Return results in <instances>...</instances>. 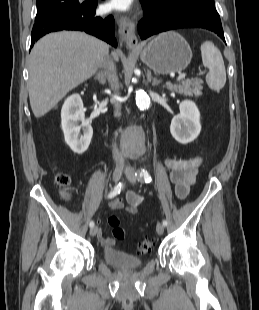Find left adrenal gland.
I'll return each instance as SVG.
<instances>
[{
	"label": "left adrenal gland",
	"instance_id": "a2214340",
	"mask_svg": "<svg viewBox=\"0 0 259 310\" xmlns=\"http://www.w3.org/2000/svg\"><path fill=\"white\" fill-rule=\"evenodd\" d=\"M147 81L149 83H151V81H152L151 72L149 70H147ZM160 82H161L160 80L154 78L152 81V86L153 87L158 86L160 84Z\"/></svg>",
	"mask_w": 259,
	"mask_h": 310
}]
</instances>
